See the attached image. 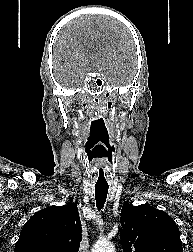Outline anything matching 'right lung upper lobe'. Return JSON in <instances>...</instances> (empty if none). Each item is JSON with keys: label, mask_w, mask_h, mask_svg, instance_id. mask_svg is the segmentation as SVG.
Wrapping results in <instances>:
<instances>
[{"label": "right lung upper lobe", "mask_w": 193, "mask_h": 252, "mask_svg": "<svg viewBox=\"0 0 193 252\" xmlns=\"http://www.w3.org/2000/svg\"><path fill=\"white\" fill-rule=\"evenodd\" d=\"M81 238L77 205L51 206L25 223L14 252H78Z\"/></svg>", "instance_id": "obj_1"}]
</instances>
